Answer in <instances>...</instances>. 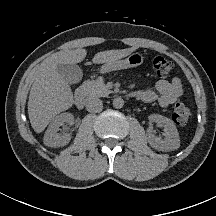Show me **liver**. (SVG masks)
Masks as SVG:
<instances>
[{"instance_id":"liver-1","label":"liver","mask_w":216,"mask_h":216,"mask_svg":"<svg viewBox=\"0 0 216 216\" xmlns=\"http://www.w3.org/2000/svg\"><path fill=\"white\" fill-rule=\"evenodd\" d=\"M134 50L132 47L98 52L92 61L94 64L108 65L128 56ZM86 55L85 49L60 51L42 62L28 100L29 120L36 133L43 132L57 114L69 109L74 103L71 87L57 72V65L80 63Z\"/></svg>"}]
</instances>
